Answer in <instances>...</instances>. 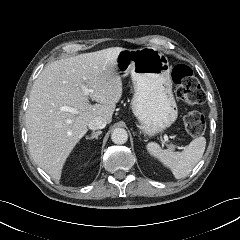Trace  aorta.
Segmentation results:
<instances>
[{
	"instance_id": "aorta-1",
	"label": "aorta",
	"mask_w": 240,
	"mask_h": 240,
	"mask_svg": "<svg viewBox=\"0 0 240 240\" xmlns=\"http://www.w3.org/2000/svg\"><path fill=\"white\" fill-rule=\"evenodd\" d=\"M111 139L115 144H124L128 140V133L123 128H116L111 134Z\"/></svg>"
}]
</instances>
